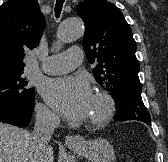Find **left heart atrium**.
<instances>
[{
  "instance_id": "39dd6f15",
  "label": "left heart atrium",
  "mask_w": 168,
  "mask_h": 162,
  "mask_svg": "<svg viewBox=\"0 0 168 162\" xmlns=\"http://www.w3.org/2000/svg\"><path fill=\"white\" fill-rule=\"evenodd\" d=\"M43 95L61 115L70 120L86 119L93 98L89 83L83 76H68L47 82Z\"/></svg>"
}]
</instances>
